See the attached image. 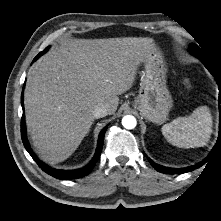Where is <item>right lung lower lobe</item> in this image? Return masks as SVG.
Returning <instances> with one entry per match:
<instances>
[{"mask_svg":"<svg viewBox=\"0 0 221 221\" xmlns=\"http://www.w3.org/2000/svg\"><path fill=\"white\" fill-rule=\"evenodd\" d=\"M47 49H45V51L39 53L34 61L41 56L44 52H46ZM21 104H22V108H24L23 105V94L21 95ZM24 114L22 116L21 119V137H22V141L23 144L26 148V150L29 152V154L31 155V157L34 159V161L39 165V167L46 172L47 174L57 178V179H78L81 177H84L86 175H88L91 170L93 169V167L95 166L100 153L102 151V147H103V142H104V135L105 132L107 130V126L101 131L100 135H99V139H98V146L96 149V153L92 159V161L85 167L80 168V169H76V170H59V169H54L49 167L48 165H46L45 163H43L42 161H40L35 154L33 153V151L30 148V145L28 143L27 137H26V127H25V120H24Z\"/></svg>","mask_w":221,"mask_h":221,"instance_id":"98d812e1","label":"right lung lower lobe"}]
</instances>
